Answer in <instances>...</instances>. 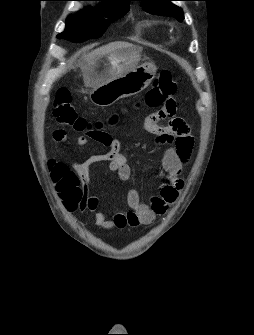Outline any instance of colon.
Wrapping results in <instances>:
<instances>
[{"label":"colon","mask_w":254,"mask_h":335,"mask_svg":"<svg viewBox=\"0 0 254 335\" xmlns=\"http://www.w3.org/2000/svg\"><path fill=\"white\" fill-rule=\"evenodd\" d=\"M177 90V82L168 70H162L152 87L146 92L142 103L149 108H163L164 100L169 98L171 94H175ZM53 115L59 124L69 127L75 131L92 132L102 141L107 139L108 134L104 131V125L101 121H97L94 125L78 114L75 106L72 103V98L67 88L58 89L53 103ZM175 115V114H174ZM117 117L111 118V123L116 121ZM57 167L65 171L63 164H58ZM75 201L82 198V191L78 187L72 194Z\"/></svg>","instance_id":"colon-1"}]
</instances>
